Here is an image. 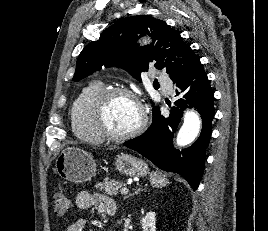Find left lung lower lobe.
Segmentation results:
<instances>
[{
    "instance_id": "left-lung-lower-lobe-1",
    "label": "left lung lower lobe",
    "mask_w": 268,
    "mask_h": 231,
    "mask_svg": "<svg viewBox=\"0 0 268 231\" xmlns=\"http://www.w3.org/2000/svg\"><path fill=\"white\" fill-rule=\"evenodd\" d=\"M177 86L175 107L165 118L159 113L147 131L124 145L152 161L164 171L183 176L196 190L204 171L206 149L214 117V93L199 58L192 61L181 74L172 78ZM194 107L202 118V131L198 140L181 152L173 148L172 138L181 120L183 110Z\"/></svg>"
}]
</instances>
